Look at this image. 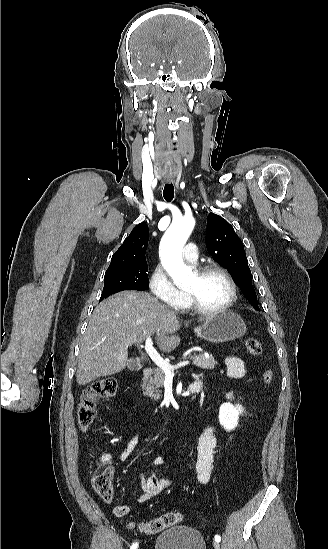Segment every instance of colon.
I'll list each match as a JSON object with an SVG mask.
<instances>
[{
  "label": "colon",
  "mask_w": 328,
  "mask_h": 549,
  "mask_svg": "<svg viewBox=\"0 0 328 549\" xmlns=\"http://www.w3.org/2000/svg\"><path fill=\"white\" fill-rule=\"evenodd\" d=\"M245 347L248 353L253 356L262 354V345L256 338H246ZM274 375L270 369L263 372V382L269 385ZM118 383L116 379L107 377L94 382L83 394L77 408L79 426L86 431L94 422L97 414L96 404L101 399H107L116 394ZM113 471L109 466H98L92 477V485L96 494L102 500H110L113 494L112 488ZM182 514L177 511L167 512L155 519L136 524L135 527L144 534H156L164 529L180 523Z\"/></svg>",
  "instance_id": "5ec220e1"
}]
</instances>
